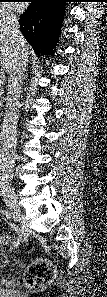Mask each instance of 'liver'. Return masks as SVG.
<instances>
[{"instance_id":"6515ba94","label":"liver","mask_w":107,"mask_h":297,"mask_svg":"<svg viewBox=\"0 0 107 297\" xmlns=\"http://www.w3.org/2000/svg\"><path fill=\"white\" fill-rule=\"evenodd\" d=\"M23 37V36H22ZM25 49L28 50V45L26 40L24 39ZM15 51L16 45L13 43L10 38L0 32V68L1 71H5L10 73L14 67V60H15Z\"/></svg>"}]
</instances>
